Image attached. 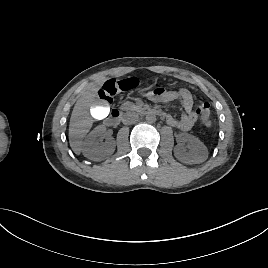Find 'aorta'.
<instances>
[{
    "label": "aorta",
    "instance_id": "aorta-1",
    "mask_svg": "<svg viewBox=\"0 0 268 268\" xmlns=\"http://www.w3.org/2000/svg\"><path fill=\"white\" fill-rule=\"evenodd\" d=\"M145 119L148 123H154L156 121V115L153 113H148Z\"/></svg>",
    "mask_w": 268,
    "mask_h": 268
}]
</instances>
